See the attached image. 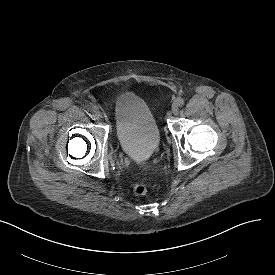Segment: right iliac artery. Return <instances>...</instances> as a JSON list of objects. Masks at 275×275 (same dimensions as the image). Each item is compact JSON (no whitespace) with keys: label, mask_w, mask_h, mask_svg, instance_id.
<instances>
[{"label":"right iliac artery","mask_w":275,"mask_h":275,"mask_svg":"<svg viewBox=\"0 0 275 275\" xmlns=\"http://www.w3.org/2000/svg\"><path fill=\"white\" fill-rule=\"evenodd\" d=\"M87 111L92 112L94 109V106L92 104L87 105L86 107Z\"/></svg>","instance_id":"1"}]
</instances>
